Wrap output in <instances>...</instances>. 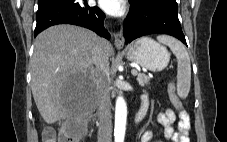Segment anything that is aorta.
<instances>
[{"label": "aorta", "mask_w": 227, "mask_h": 142, "mask_svg": "<svg viewBox=\"0 0 227 142\" xmlns=\"http://www.w3.org/2000/svg\"><path fill=\"white\" fill-rule=\"evenodd\" d=\"M127 105L123 96H118L115 106V142H123L126 131Z\"/></svg>", "instance_id": "obj_1"}]
</instances>
